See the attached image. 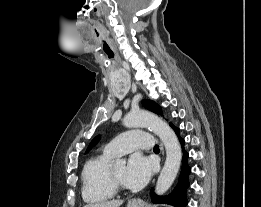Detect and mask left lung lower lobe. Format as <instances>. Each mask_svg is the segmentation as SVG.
<instances>
[{
    "instance_id": "0a47b994",
    "label": "left lung lower lobe",
    "mask_w": 261,
    "mask_h": 207,
    "mask_svg": "<svg viewBox=\"0 0 261 207\" xmlns=\"http://www.w3.org/2000/svg\"><path fill=\"white\" fill-rule=\"evenodd\" d=\"M171 127L175 130L176 134H179V128H176L174 125H171ZM179 140L182 145L183 149V160H182V168L181 173L179 176L178 183L172 193L169 196L161 197L156 196L153 192V189H151V200L153 203H165L172 205L174 207H186L187 205V198H186V190L189 188V181L188 177L191 172V168L188 166L187 160H188V153L184 150V139L179 137Z\"/></svg>"
}]
</instances>
